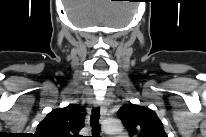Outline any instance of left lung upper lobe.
Masks as SVG:
<instances>
[{
    "label": "left lung upper lobe",
    "instance_id": "obj_1",
    "mask_svg": "<svg viewBox=\"0 0 206 137\" xmlns=\"http://www.w3.org/2000/svg\"><path fill=\"white\" fill-rule=\"evenodd\" d=\"M131 137H167L156 113L144 106L125 104L117 112Z\"/></svg>",
    "mask_w": 206,
    "mask_h": 137
}]
</instances>
